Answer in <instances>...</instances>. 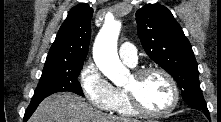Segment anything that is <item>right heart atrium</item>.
<instances>
[{"mask_svg": "<svg viewBox=\"0 0 221 122\" xmlns=\"http://www.w3.org/2000/svg\"><path fill=\"white\" fill-rule=\"evenodd\" d=\"M79 82L86 98L96 107L109 110L114 99V87L89 60L82 67Z\"/></svg>", "mask_w": 221, "mask_h": 122, "instance_id": "right-heart-atrium-1", "label": "right heart atrium"}]
</instances>
